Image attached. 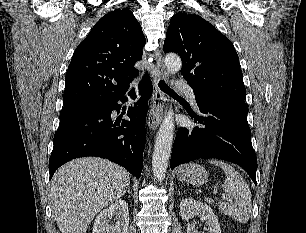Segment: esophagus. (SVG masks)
Listing matches in <instances>:
<instances>
[{
    "instance_id": "obj_1",
    "label": "esophagus",
    "mask_w": 306,
    "mask_h": 233,
    "mask_svg": "<svg viewBox=\"0 0 306 233\" xmlns=\"http://www.w3.org/2000/svg\"><path fill=\"white\" fill-rule=\"evenodd\" d=\"M155 58H156V74L154 77L152 105L148 117V127L151 130H155L159 126L162 120L165 102H166V95L160 90L158 82L160 79H163L165 81H168L169 79V73L164 66L162 54L159 49L155 51Z\"/></svg>"
}]
</instances>
